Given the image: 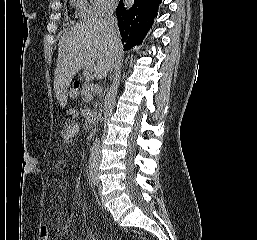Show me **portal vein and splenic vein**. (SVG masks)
Listing matches in <instances>:
<instances>
[{
	"label": "portal vein and splenic vein",
	"instance_id": "portal-vein-and-splenic-vein-1",
	"mask_svg": "<svg viewBox=\"0 0 257 240\" xmlns=\"http://www.w3.org/2000/svg\"><path fill=\"white\" fill-rule=\"evenodd\" d=\"M87 96H88V98H89V99H91V98H92V94H91L90 92L88 93V95H87Z\"/></svg>",
	"mask_w": 257,
	"mask_h": 240
}]
</instances>
